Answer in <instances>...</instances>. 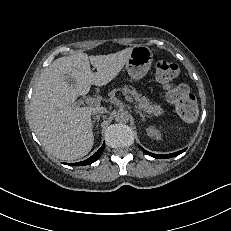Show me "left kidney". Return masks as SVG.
I'll return each instance as SVG.
<instances>
[{
  "mask_svg": "<svg viewBox=\"0 0 231 231\" xmlns=\"http://www.w3.org/2000/svg\"><path fill=\"white\" fill-rule=\"evenodd\" d=\"M146 133L149 137H151L153 139H156V140L162 139L161 133L152 125H150L146 128Z\"/></svg>",
  "mask_w": 231,
  "mask_h": 231,
  "instance_id": "obj_1",
  "label": "left kidney"
}]
</instances>
